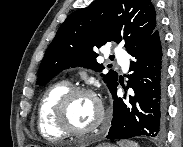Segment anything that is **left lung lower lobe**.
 <instances>
[{
    "instance_id": "obj_1",
    "label": "left lung lower lobe",
    "mask_w": 183,
    "mask_h": 147,
    "mask_svg": "<svg viewBox=\"0 0 183 147\" xmlns=\"http://www.w3.org/2000/svg\"><path fill=\"white\" fill-rule=\"evenodd\" d=\"M128 87L132 96L118 98L117 84L111 90L113 119L108 139L134 136L159 137L165 130L166 117V59L160 27L129 52Z\"/></svg>"
}]
</instances>
